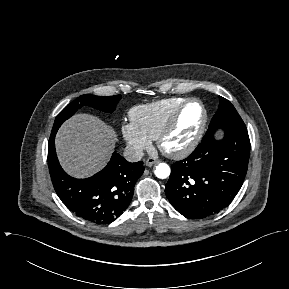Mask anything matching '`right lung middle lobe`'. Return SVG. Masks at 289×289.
Here are the masks:
<instances>
[{"label":"right lung middle lobe","mask_w":289,"mask_h":289,"mask_svg":"<svg viewBox=\"0 0 289 289\" xmlns=\"http://www.w3.org/2000/svg\"><path fill=\"white\" fill-rule=\"evenodd\" d=\"M121 99V95L100 97L94 95H82L68 104L55 118L52 132H57L61 124L71 117L79 108L87 105L103 112L112 113Z\"/></svg>","instance_id":"dd1d6c3e"}]
</instances>
